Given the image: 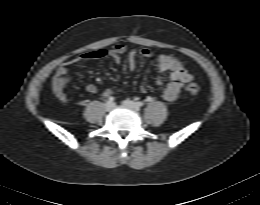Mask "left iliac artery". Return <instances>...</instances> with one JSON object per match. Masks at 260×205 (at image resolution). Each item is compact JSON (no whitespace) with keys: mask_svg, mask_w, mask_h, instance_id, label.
Returning <instances> with one entry per match:
<instances>
[{"mask_svg":"<svg viewBox=\"0 0 260 205\" xmlns=\"http://www.w3.org/2000/svg\"><path fill=\"white\" fill-rule=\"evenodd\" d=\"M150 99V98H149ZM137 105L139 106V107H142L143 106V103L141 102V101H138L137 102Z\"/></svg>","mask_w":260,"mask_h":205,"instance_id":"left-iliac-artery-1","label":"left iliac artery"}]
</instances>
